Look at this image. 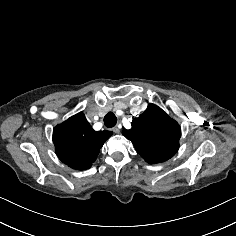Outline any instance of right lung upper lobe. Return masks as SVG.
<instances>
[{"instance_id":"cb5924a9","label":"right lung upper lobe","mask_w":236,"mask_h":236,"mask_svg":"<svg viewBox=\"0 0 236 236\" xmlns=\"http://www.w3.org/2000/svg\"><path fill=\"white\" fill-rule=\"evenodd\" d=\"M111 131L93 130L82 112L57 125L53 142L59 159L73 169L85 170L96 160Z\"/></svg>"}]
</instances>
